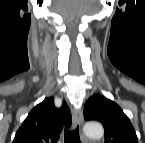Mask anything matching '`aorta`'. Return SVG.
<instances>
[{
    "instance_id": "aorta-1",
    "label": "aorta",
    "mask_w": 145,
    "mask_h": 143,
    "mask_svg": "<svg viewBox=\"0 0 145 143\" xmlns=\"http://www.w3.org/2000/svg\"><path fill=\"white\" fill-rule=\"evenodd\" d=\"M86 136L99 139L104 135L103 127L97 122H87L84 126Z\"/></svg>"
}]
</instances>
